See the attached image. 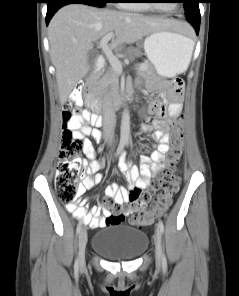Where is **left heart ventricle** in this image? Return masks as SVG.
I'll return each mask as SVG.
<instances>
[{
    "mask_svg": "<svg viewBox=\"0 0 239 296\" xmlns=\"http://www.w3.org/2000/svg\"><path fill=\"white\" fill-rule=\"evenodd\" d=\"M156 3L160 8L164 9V10H171L174 6L175 3H169L166 1H159Z\"/></svg>",
    "mask_w": 239,
    "mask_h": 296,
    "instance_id": "1",
    "label": "left heart ventricle"
}]
</instances>
